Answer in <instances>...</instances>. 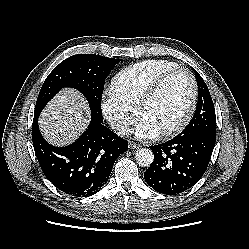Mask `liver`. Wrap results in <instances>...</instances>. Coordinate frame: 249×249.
Segmentation results:
<instances>
[{"label":"liver","instance_id":"1","mask_svg":"<svg viewBox=\"0 0 249 249\" xmlns=\"http://www.w3.org/2000/svg\"><path fill=\"white\" fill-rule=\"evenodd\" d=\"M90 111L85 98L76 90H62L46 107L39 119L45 139L53 145L73 142L87 127Z\"/></svg>","mask_w":249,"mask_h":249}]
</instances>
